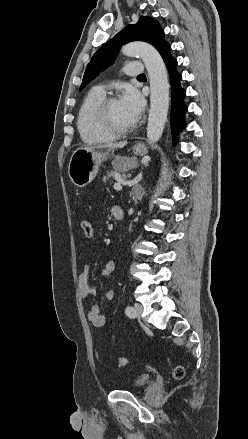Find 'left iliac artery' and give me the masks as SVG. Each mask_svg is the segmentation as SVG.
<instances>
[{
  "instance_id": "44dca946",
  "label": "left iliac artery",
  "mask_w": 248,
  "mask_h": 439,
  "mask_svg": "<svg viewBox=\"0 0 248 439\" xmlns=\"http://www.w3.org/2000/svg\"><path fill=\"white\" fill-rule=\"evenodd\" d=\"M133 312H134V310H133V307H132V306H127V307L125 308V313H126L127 316L132 317Z\"/></svg>"
}]
</instances>
